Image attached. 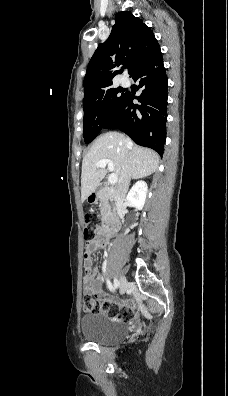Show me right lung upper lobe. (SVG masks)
I'll list each match as a JSON object with an SVG mask.
<instances>
[{
  "label": "right lung upper lobe",
  "mask_w": 228,
  "mask_h": 396,
  "mask_svg": "<svg viewBox=\"0 0 228 396\" xmlns=\"http://www.w3.org/2000/svg\"><path fill=\"white\" fill-rule=\"evenodd\" d=\"M115 21L109 38L99 44L88 64L84 97L112 86L113 78L121 72L117 67L129 65L133 77L159 46L152 30L131 12H119Z\"/></svg>",
  "instance_id": "cb5924a9"
}]
</instances>
